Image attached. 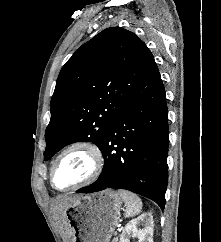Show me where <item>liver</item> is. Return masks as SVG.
Segmentation results:
<instances>
[{
  "label": "liver",
  "mask_w": 221,
  "mask_h": 242,
  "mask_svg": "<svg viewBox=\"0 0 221 242\" xmlns=\"http://www.w3.org/2000/svg\"><path fill=\"white\" fill-rule=\"evenodd\" d=\"M77 197H67V198H63L58 200L55 204H54V208L53 210L57 213V217L62 220L63 224H65L66 226L69 225L66 222V215H65V209L66 207L73 201L75 200ZM68 232V237H70L71 235V231L67 230Z\"/></svg>",
  "instance_id": "1"
}]
</instances>
